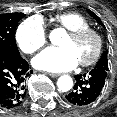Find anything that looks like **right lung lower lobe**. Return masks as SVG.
Wrapping results in <instances>:
<instances>
[{
	"label": "right lung lower lobe",
	"instance_id": "98d812e1",
	"mask_svg": "<svg viewBox=\"0 0 117 117\" xmlns=\"http://www.w3.org/2000/svg\"><path fill=\"white\" fill-rule=\"evenodd\" d=\"M29 64L19 53L0 52V109L20 106L26 95Z\"/></svg>",
	"mask_w": 117,
	"mask_h": 117
}]
</instances>
